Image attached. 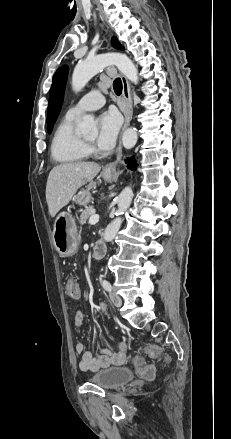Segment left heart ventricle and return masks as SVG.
<instances>
[{
	"label": "left heart ventricle",
	"instance_id": "left-heart-ventricle-1",
	"mask_svg": "<svg viewBox=\"0 0 231 439\" xmlns=\"http://www.w3.org/2000/svg\"><path fill=\"white\" fill-rule=\"evenodd\" d=\"M87 140H88V141H92V140H93V138H92V137H91V138H87Z\"/></svg>",
	"mask_w": 231,
	"mask_h": 439
}]
</instances>
